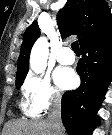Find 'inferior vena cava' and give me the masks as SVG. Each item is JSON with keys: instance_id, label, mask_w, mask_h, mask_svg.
I'll use <instances>...</instances> for the list:
<instances>
[{"instance_id": "inferior-vena-cava-1", "label": "inferior vena cava", "mask_w": 112, "mask_h": 135, "mask_svg": "<svg viewBox=\"0 0 112 135\" xmlns=\"http://www.w3.org/2000/svg\"><path fill=\"white\" fill-rule=\"evenodd\" d=\"M48 122L53 130V135H63L60 98L54 99L48 115Z\"/></svg>"}]
</instances>
